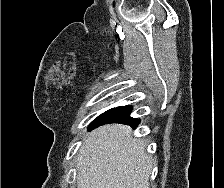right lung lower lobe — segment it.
<instances>
[{
    "instance_id": "obj_1",
    "label": "right lung lower lobe",
    "mask_w": 224,
    "mask_h": 188,
    "mask_svg": "<svg viewBox=\"0 0 224 188\" xmlns=\"http://www.w3.org/2000/svg\"><path fill=\"white\" fill-rule=\"evenodd\" d=\"M131 110H132L131 106H121L110 109L105 113L101 114L100 116H98L90 124L89 130L106 123H114V122L121 124H128L135 128L138 126L140 120L131 118L129 116Z\"/></svg>"
}]
</instances>
